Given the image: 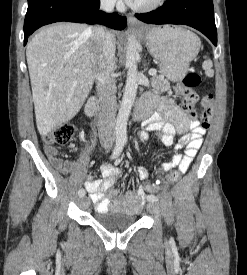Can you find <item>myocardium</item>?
Segmentation results:
<instances>
[{
  "label": "myocardium",
  "mask_w": 247,
  "mask_h": 275,
  "mask_svg": "<svg viewBox=\"0 0 247 275\" xmlns=\"http://www.w3.org/2000/svg\"><path fill=\"white\" fill-rule=\"evenodd\" d=\"M165 0H152L148 4L142 6L130 5L132 9L139 12H149L153 11L163 5Z\"/></svg>",
  "instance_id": "myocardium-1"
}]
</instances>
